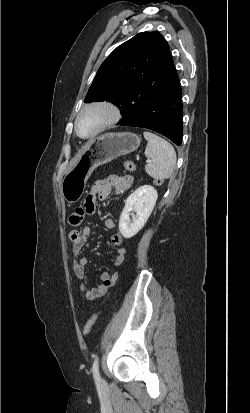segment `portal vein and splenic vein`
<instances>
[{"mask_svg":"<svg viewBox=\"0 0 250 413\" xmlns=\"http://www.w3.org/2000/svg\"><path fill=\"white\" fill-rule=\"evenodd\" d=\"M136 160H139V156L136 157ZM146 162L148 163L150 162V160H147Z\"/></svg>","mask_w":250,"mask_h":413,"instance_id":"18ae733b","label":"portal vein and splenic vein"}]
</instances>
